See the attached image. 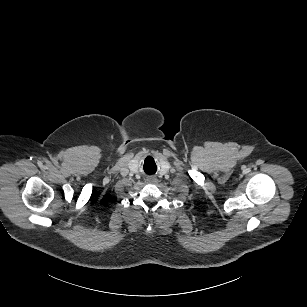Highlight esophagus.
Segmentation results:
<instances>
[{"instance_id":"esophagus-1","label":"esophagus","mask_w":307,"mask_h":307,"mask_svg":"<svg viewBox=\"0 0 307 307\" xmlns=\"http://www.w3.org/2000/svg\"><path fill=\"white\" fill-rule=\"evenodd\" d=\"M146 182L149 184H156L158 183V179L155 176H150L146 178Z\"/></svg>"}]
</instances>
